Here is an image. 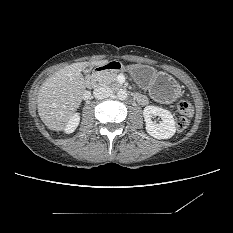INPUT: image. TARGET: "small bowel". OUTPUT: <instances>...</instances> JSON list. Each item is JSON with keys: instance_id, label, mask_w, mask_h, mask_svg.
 Wrapping results in <instances>:
<instances>
[{"instance_id": "obj_1", "label": "small bowel", "mask_w": 233, "mask_h": 233, "mask_svg": "<svg viewBox=\"0 0 233 233\" xmlns=\"http://www.w3.org/2000/svg\"><path fill=\"white\" fill-rule=\"evenodd\" d=\"M137 95H138L137 101L139 104L146 105L148 103V99L146 96L141 95V94H137Z\"/></svg>"}]
</instances>
